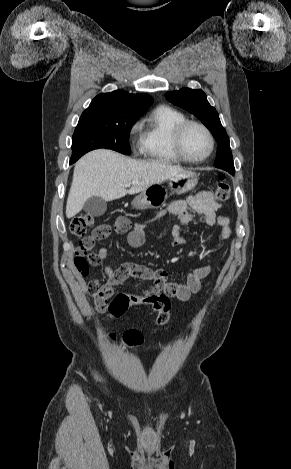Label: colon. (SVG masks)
Instances as JSON below:
<instances>
[{
  "mask_svg": "<svg viewBox=\"0 0 291 469\" xmlns=\"http://www.w3.org/2000/svg\"><path fill=\"white\" fill-rule=\"evenodd\" d=\"M231 188L223 174L219 175V181L214 191V198L221 202L229 198ZM92 217L89 215H79L72 219L70 223V231L72 234L82 237L75 257V266L83 275L88 273L89 264L99 265L100 262L95 257L85 255L92 248L94 243L105 237L107 229L103 226H97L93 229ZM100 289V284L90 282L88 284V292L95 295ZM129 308H145L146 310L157 311L156 323L164 326L170 320V295L168 293H149L147 298L128 299V294L124 291L113 294V300L110 302L109 313L114 320H120L122 313H127ZM114 339V335L111 336ZM123 342L129 347H136L142 344L143 335L137 330H128L123 334Z\"/></svg>",
  "mask_w": 291,
  "mask_h": 469,
  "instance_id": "obj_1",
  "label": "colon"
}]
</instances>
